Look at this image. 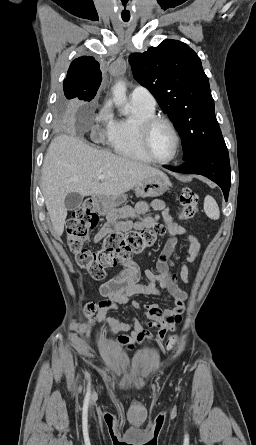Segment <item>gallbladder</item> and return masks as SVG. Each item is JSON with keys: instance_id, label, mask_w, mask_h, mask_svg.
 <instances>
[{"instance_id": "obj_1", "label": "gallbladder", "mask_w": 256, "mask_h": 445, "mask_svg": "<svg viewBox=\"0 0 256 445\" xmlns=\"http://www.w3.org/2000/svg\"><path fill=\"white\" fill-rule=\"evenodd\" d=\"M83 196L77 192L69 193L64 200L67 210H75L82 205Z\"/></svg>"}]
</instances>
